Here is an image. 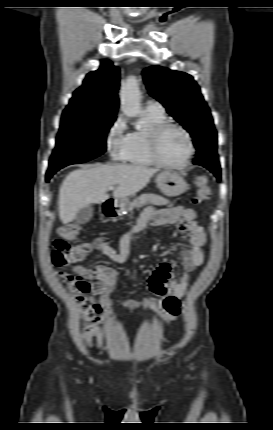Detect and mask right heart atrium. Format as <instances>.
Masks as SVG:
<instances>
[{"label": "right heart atrium", "mask_w": 273, "mask_h": 430, "mask_svg": "<svg viewBox=\"0 0 273 430\" xmlns=\"http://www.w3.org/2000/svg\"><path fill=\"white\" fill-rule=\"evenodd\" d=\"M131 133L127 131L124 118L118 116L106 134V148L115 161H126L131 148Z\"/></svg>", "instance_id": "right-heart-atrium-1"}]
</instances>
